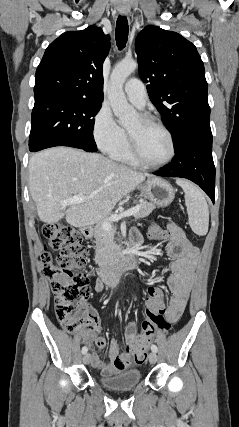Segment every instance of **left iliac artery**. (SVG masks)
<instances>
[{
  "label": "left iliac artery",
  "instance_id": "obj_1",
  "mask_svg": "<svg viewBox=\"0 0 239 427\" xmlns=\"http://www.w3.org/2000/svg\"><path fill=\"white\" fill-rule=\"evenodd\" d=\"M151 350L153 351V352H157L158 351V348H157V346L156 345H152L151 346Z\"/></svg>",
  "mask_w": 239,
  "mask_h": 427
}]
</instances>
